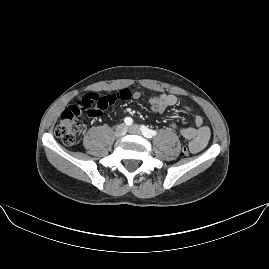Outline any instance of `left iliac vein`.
<instances>
[{
  "label": "left iliac vein",
  "mask_w": 269,
  "mask_h": 269,
  "mask_svg": "<svg viewBox=\"0 0 269 269\" xmlns=\"http://www.w3.org/2000/svg\"><path fill=\"white\" fill-rule=\"evenodd\" d=\"M128 132L131 134H141V128L138 125H132L128 128Z\"/></svg>",
  "instance_id": "1"
}]
</instances>
